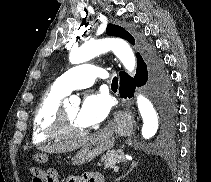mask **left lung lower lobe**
Returning <instances> with one entry per match:
<instances>
[{
	"instance_id": "obj_1",
	"label": "left lung lower lobe",
	"mask_w": 211,
	"mask_h": 182,
	"mask_svg": "<svg viewBox=\"0 0 211 182\" xmlns=\"http://www.w3.org/2000/svg\"><path fill=\"white\" fill-rule=\"evenodd\" d=\"M143 85H146L148 91L154 96L163 114H168L174 92L170 87V79L161 60L152 50L147 51L144 57L137 53L135 78H131L125 72H120L119 93L121 97H133L135 87Z\"/></svg>"
}]
</instances>
